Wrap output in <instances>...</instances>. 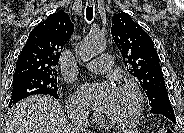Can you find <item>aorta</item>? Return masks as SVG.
<instances>
[{"mask_svg":"<svg viewBox=\"0 0 184 133\" xmlns=\"http://www.w3.org/2000/svg\"><path fill=\"white\" fill-rule=\"evenodd\" d=\"M106 48L105 38L99 34H89L77 47V54L83 62H88Z\"/></svg>","mask_w":184,"mask_h":133,"instance_id":"obj_1","label":"aorta"}]
</instances>
